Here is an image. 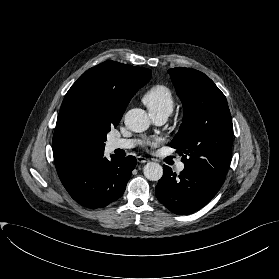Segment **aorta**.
Segmentation results:
<instances>
[{
    "label": "aorta",
    "instance_id": "aorta-1",
    "mask_svg": "<svg viewBox=\"0 0 279 279\" xmlns=\"http://www.w3.org/2000/svg\"><path fill=\"white\" fill-rule=\"evenodd\" d=\"M126 127L133 132H143L149 125L150 120L147 113L140 108L129 110L124 119ZM145 177L150 181H158L163 175V168L159 163L149 162L143 169Z\"/></svg>",
    "mask_w": 279,
    "mask_h": 279
}]
</instances>
